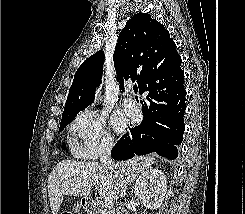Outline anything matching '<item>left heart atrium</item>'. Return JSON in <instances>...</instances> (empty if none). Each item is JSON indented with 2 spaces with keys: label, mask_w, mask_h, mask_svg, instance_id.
Listing matches in <instances>:
<instances>
[{
  "label": "left heart atrium",
  "mask_w": 245,
  "mask_h": 214,
  "mask_svg": "<svg viewBox=\"0 0 245 214\" xmlns=\"http://www.w3.org/2000/svg\"><path fill=\"white\" fill-rule=\"evenodd\" d=\"M113 126H114V128H115L117 131H122V129H123V123H122L120 120H118V119H115V120L113 121Z\"/></svg>",
  "instance_id": "obj_1"
}]
</instances>
